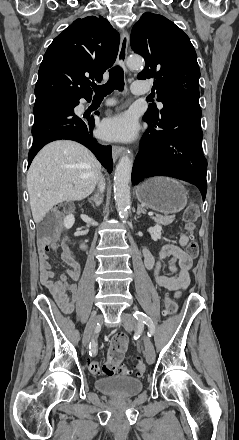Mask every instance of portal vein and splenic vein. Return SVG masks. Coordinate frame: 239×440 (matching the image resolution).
<instances>
[{
  "instance_id": "18ae733b",
  "label": "portal vein and splenic vein",
  "mask_w": 239,
  "mask_h": 440,
  "mask_svg": "<svg viewBox=\"0 0 239 440\" xmlns=\"http://www.w3.org/2000/svg\"><path fill=\"white\" fill-rule=\"evenodd\" d=\"M70 188H73L72 184H70ZM148 214H149V216H151V215H153V212H149Z\"/></svg>"
}]
</instances>
